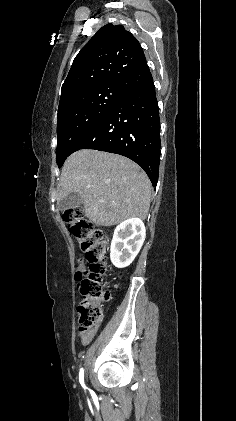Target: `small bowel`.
Listing matches in <instances>:
<instances>
[{
  "label": "small bowel",
  "mask_w": 236,
  "mask_h": 421,
  "mask_svg": "<svg viewBox=\"0 0 236 421\" xmlns=\"http://www.w3.org/2000/svg\"><path fill=\"white\" fill-rule=\"evenodd\" d=\"M95 332H96V328L94 330L90 331V332H87L85 334H81L80 335L81 341L84 344L89 343L92 340V338L94 337Z\"/></svg>",
  "instance_id": "small-bowel-1"
}]
</instances>
